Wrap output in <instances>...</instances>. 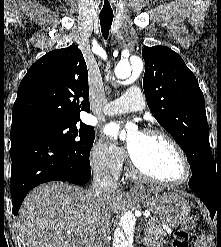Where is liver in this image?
<instances>
[{
    "mask_svg": "<svg viewBox=\"0 0 221 247\" xmlns=\"http://www.w3.org/2000/svg\"><path fill=\"white\" fill-rule=\"evenodd\" d=\"M125 196L129 194L116 190L101 203L90 190L77 186L61 182L40 185L21 206V237L27 247H92L98 235L110 231L111 215L120 211Z\"/></svg>",
    "mask_w": 221,
    "mask_h": 247,
    "instance_id": "6515ba94",
    "label": "liver"
}]
</instances>
